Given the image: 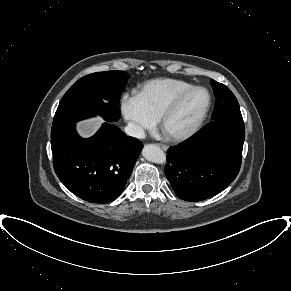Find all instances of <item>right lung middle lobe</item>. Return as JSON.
<instances>
[{
	"instance_id": "right-lung-middle-lobe-1",
	"label": "right lung middle lobe",
	"mask_w": 291,
	"mask_h": 291,
	"mask_svg": "<svg viewBox=\"0 0 291 291\" xmlns=\"http://www.w3.org/2000/svg\"><path fill=\"white\" fill-rule=\"evenodd\" d=\"M129 77L125 71H105L84 76L75 82L59 103L51 138L76 122L96 114L106 121H117L120 118V96ZM103 100L109 103L105 104Z\"/></svg>"
}]
</instances>
